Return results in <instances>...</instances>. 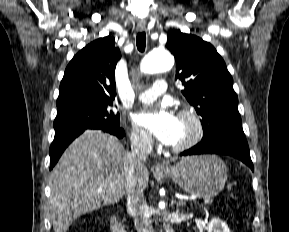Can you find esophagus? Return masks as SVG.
Here are the masks:
<instances>
[{"instance_id":"obj_1","label":"esophagus","mask_w":289,"mask_h":232,"mask_svg":"<svg viewBox=\"0 0 289 232\" xmlns=\"http://www.w3.org/2000/svg\"><path fill=\"white\" fill-rule=\"evenodd\" d=\"M145 29H146L145 24L140 23V24L137 25V30H138L139 32H143ZM155 168H156L157 170H162V169L165 168V165H164V164H161V163H157V164L155 165Z\"/></svg>"}]
</instances>
